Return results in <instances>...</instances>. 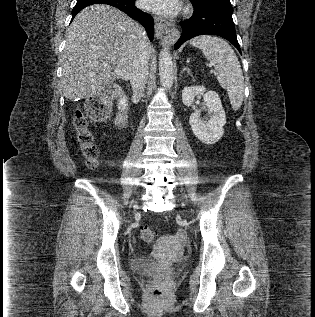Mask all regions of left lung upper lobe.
<instances>
[{"mask_svg":"<svg viewBox=\"0 0 315 317\" xmlns=\"http://www.w3.org/2000/svg\"><path fill=\"white\" fill-rule=\"evenodd\" d=\"M193 5L200 7H213L215 9L233 10L230 0H190Z\"/></svg>","mask_w":315,"mask_h":317,"instance_id":"obj_1","label":"left lung upper lobe"}]
</instances>
